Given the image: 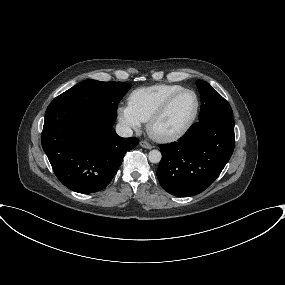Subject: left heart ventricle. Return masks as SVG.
I'll return each instance as SVG.
<instances>
[{"label":"left heart ventricle","instance_id":"obj_1","mask_svg":"<svg viewBox=\"0 0 285 285\" xmlns=\"http://www.w3.org/2000/svg\"><path fill=\"white\" fill-rule=\"evenodd\" d=\"M195 109V97L191 93L178 96L166 114L159 120L156 129L160 132H172L183 127Z\"/></svg>","mask_w":285,"mask_h":285}]
</instances>
